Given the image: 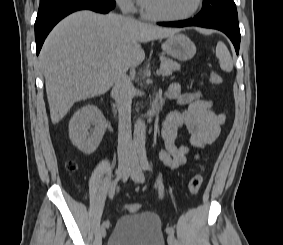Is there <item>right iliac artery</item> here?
<instances>
[{"label": "right iliac artery", "instance_id": "1", "mask_svg": "<svg viewBox=\"0 0 283 245\" xmlns=\"http://www.w3.org/2000/svg\"><path fill=\"white\" fill-rule=\"evenodd\" d=\"M119 179H120V178L117 177L115 180L112 181V183H111V185H110V188H109V197H110L111 199H113V197H114V195H115V190H116V188H117V186H118ZM102 225L108 227V226H109V221H104Z\"/></svg>", "mask_w": 283, "mask_h": 245}]
</instances>
